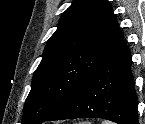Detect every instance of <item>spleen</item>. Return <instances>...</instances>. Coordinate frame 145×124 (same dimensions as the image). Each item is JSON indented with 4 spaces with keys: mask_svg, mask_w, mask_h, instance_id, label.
I'll use <instances>...</instances> for the list:
<instances>
[{
    "mask_svg": "<svg viewBox=\"0 0 145 124\" xmlns=\"http://www.w3.org/2000/svg\"><path fill=\"white\" fill-rule=\"evenodd\" d=\"M103 124H111V123H109V122H103Z\"/></svg>",
    "mask_w": 145,
    "mask_h": 124,
    "instance_id": "obj_1",
    "label": "spleen"
}]
</instances>
